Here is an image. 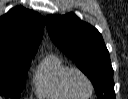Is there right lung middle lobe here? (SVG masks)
Segmentation results:
<instances>
[{"label": "right lung middle lobe", "instance_id": "obj_1", "mask_svg": "<svg viewBox=\"0 0 128 99\" xmlns=\"http://www.w3.org/2000/svg\"><path fill=\"white\" fill-rule=\"evenodd\" d=\"M34 55L0 54V95L18 98Z\"/></svg>", "mask_w": 128, "mask_h": 99}]
</instances>
